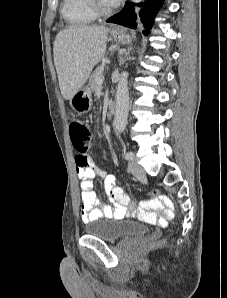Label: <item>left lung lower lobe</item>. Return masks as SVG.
I'll return each mask as SVG.
<instances>
[{
    "label": "left lung lower lobe",
    "instance_id": "left-lung-lower-lobe-1",
    "mask_svg": "<svg viewBox=\"0 0 227 298\" xmlns=\"http://www.w3.org/2000/svg\"><path fill=\"white\" fill-rule=\"evenodd\" d=\"M162 0H147L144 3L126 2L124 8L113 17L107 19L108 23H116L129 28L135 29L137 23H141L144 27V33L149 34L152 28V21ZM137 5L141 9L135 12L134 6Z\"/></svg>",
    "mask_w": 227,
    "mask_h": 298
}]
</instances>
